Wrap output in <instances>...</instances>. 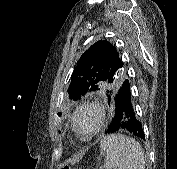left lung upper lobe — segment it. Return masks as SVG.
<instances>
[{"label": "left lung upper lobe", "mask_w": 177, "mask_h": 169, "mask_svg": "<svg viewBox=\"0 0 177 169\" xmlns=\"http://www.w3.org/2000/svg\"><path fill=\"white\" fill-rule=\"evenodd\" d=\"M124 64L116 48L107 41H97L77 63L68 88L71 99L88 92L113 96L125 78Z\"/></svg>", "instance_id": "obj_1"}]
</instances>
